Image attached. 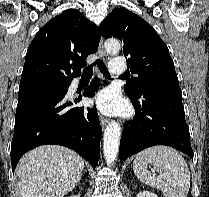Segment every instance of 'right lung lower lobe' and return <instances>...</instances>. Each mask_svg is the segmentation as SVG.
I'll return each mask as SVG.
<instances>
[{
    "label": "right lung lower lobe",
    "instance_id": "98d812e1",
    "mask_svg": "<svg viewBox=\"0 0 209 197\" xmlns=\"http://www.w3.org/2000/svg\"><path fill=\"white\" fill-rule=\"evenodd\" d=\"M99 86L100 81L95 78L84 96L93 97ZM67 91L68 88L62 94L35 97L18 103L11 143L13 170L24 153L45 144L73 149L88 160L93 169L96 168L102 134L97 110L95 107H71L81 100V96L68 99Z\"/></svg>",
    "mask_w": 209,
    "mask_h": 197
}]
</instances>
